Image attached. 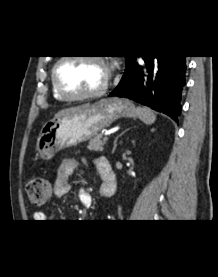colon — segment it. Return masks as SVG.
Wrapping results in <instances>:
<instances>
[{
  "instance_id": "5ec220e1",
  "label": "colon",
  "mask_w": 218,
  "mask_h": 277,
  "mask_svg": "<svg viewBox=\"0 0 218 277\" xmlns=\"http://www.w3.org/2000/svg\"><path fill=\"white\" fill-rule=\"evenodd\" d=\"M26 191L32 205L43 206L52 196L53 187L47 179L34 176L28 179Z\"/></svg>"
}]
</instances>
